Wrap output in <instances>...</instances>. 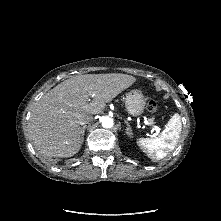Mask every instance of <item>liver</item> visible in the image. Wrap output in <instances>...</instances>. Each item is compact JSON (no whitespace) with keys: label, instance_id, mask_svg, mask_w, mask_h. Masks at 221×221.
<instances>
[{"label":"liver","instance_id":"1","mask_svg":"<svg viewBox=\"0 0 221 221\" xmlns=\"http://www.w3.org/2000/svg\"><path fill=\"white\" fill-rule=\"evenodd\" d=\"M135 81V77L126 74H87L55 86L31 113L29 129L35 148L48 157L75 155L81 148L80 119L101 113L106 103Z\"/></svg>","mask_w":221,"mask_h":221}]
</instances>
